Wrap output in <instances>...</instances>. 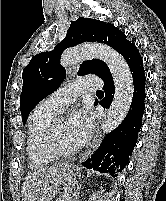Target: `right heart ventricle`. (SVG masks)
I'll return each mask as SVG.
<instances>
[{
  "instance_id": "1",
  "label": "right heart ventricle",
  "mask_w": 166,
  "mask_h": 201,
  "mask_svg": "<svg viewBox=\"0 0 166 201\" xmlns=\"http://www.w3.org/2000/svg\"><path fill=\"white\" fill-rule=\"evenodd\" d=\"M57 112L40 105L29 117L27 154L29 164L36 168L46 165L56 159V156L44 143L45 131Z\"/></svg>"
}]
</instances>
